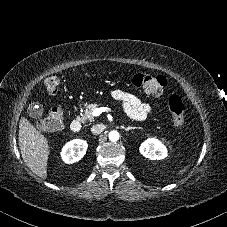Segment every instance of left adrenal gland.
Here are the masks:
<instances>
[{
	"mask_svg": "<svg viewBox=\"0 0 227 227\" xmlns=\"http://www.w3.org/2000/svg\"><path fill=\"white\" fill-rule=\"evenodd\" d=\"M132 129H139V127L128 126L127 128H125V131H129Z\"/></svg>",
	"mask_w": 227,
	"mask_h": 227,
	"instance_id": "obj_1",
	"label": "left adrenal gland"
}]
</instances>
